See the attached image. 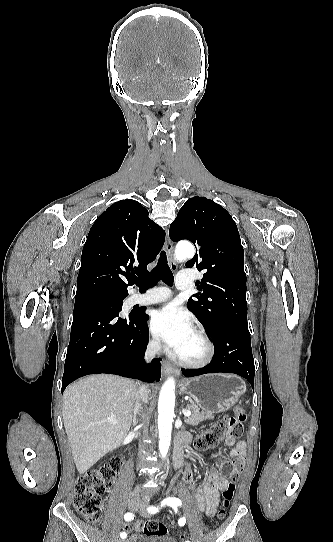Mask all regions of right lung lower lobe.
<instances>
[{
	"label": "right lung lower lobe",
	"instance_id": "obj_1",
	"mask_svg": "<svg viewBox=\"0 0 333 542\" xmlns=\"http://www.w3.org/2000/svg\"><path fill=\"white\" fill-rule=\"evenodd\" d=\"M85 259L92 265H101L110 260V253L102 248L91 249ZM127 295L120 296L124 300ZM143 310L121 318L118 308L101 293L75 297L62 392L79 377L96 373L116 374L149 383L160 380L161 358L153 359L150 364L144 361L149 316Z\"/></svg>",
	"mask_w": 333,
	"mask_h": 542
}]
</instances>
